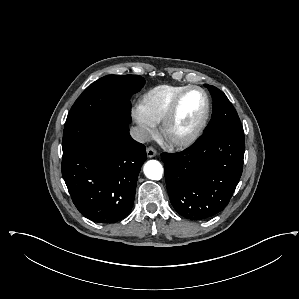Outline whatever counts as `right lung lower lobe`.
<instances>
[{
    "label": "right lung lower lobe",
    "mask_w": 299,
    "mask_h": 299,
    "mask_svg": "<svg viewBox=\"0 0 299 299\" xmlns=\"http://www.w3.org/2000/svg\"><path fill=\"white\" fill-rule=\"evenodd\" d=\"M146 148L129 123H107L63 153L62 175L74 205L97 223H115L132 208Z\"/></svg>",
    "instance_id": "98d812e1"
}]
</instances>
